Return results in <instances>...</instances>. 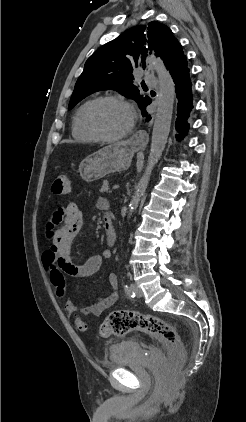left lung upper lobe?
I'll use <instances>...</instances> for the list:
<instances>
[{
  "label": "left lung upper lobe",
  "instance_id": "5c2ea615",
  "mask_svg": "<svg viewBox=\"0 0 246 422\" xmlns=\"http://www.w3.org/2000/svg\"><path fill=\"white\" fill-rule=\"evenodd\" d=\"M179 45L170 28L156 21L125 31L88 58L75 84L68 109L94 92L113 89L136 101L143 110L151 99L139 94L133 82V70L137 67L145 69V59L152 53L159 56L167 67Z\"/></svg>",
  "mask_w": 246,
  "mask_h": 422
}]
</instances>
